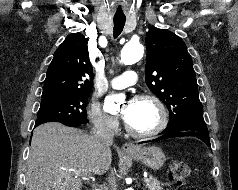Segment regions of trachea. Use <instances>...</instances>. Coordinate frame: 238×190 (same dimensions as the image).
I'll return each mask as SVG.
<instances>
[{"label": "trachea", "mask_w": 238, "mask_h": 190, "mask_svg": "<svg viewBox=\"0 0 238 190\" xmlns=\"http://www.w3.org/2000/svg\"><path fill=\"white\" fill-rule=\"evenodd\" d=\"M125 18H114V37H118L125 25Z\"/></svg>", "instance_id": "obj_1"}]
</instances>
